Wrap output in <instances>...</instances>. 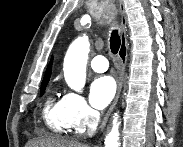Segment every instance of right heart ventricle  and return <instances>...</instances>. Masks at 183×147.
<instances>
[{
    "label": "right heart ventricle",
    "mask_w": 183,
    "mask_h": 147,
    "mask_svg": "<svg viewBox=\"0 0 183 147\" xmlns=\"http://www.w3.org/2000/svg\"><path fill=\"white\" fill-rule=\"evenodd\" d=\"M43 118L46 126L54 133H65L69 128L65 113L64 97H49L43 108Z\"/></svg>",
    "instance_id": "right-heart-ventricle-1"
}]
</instances>
